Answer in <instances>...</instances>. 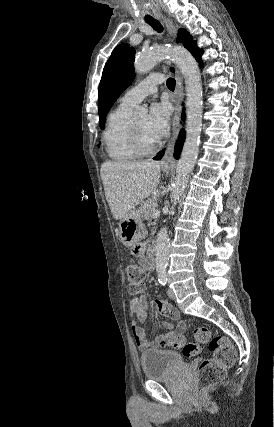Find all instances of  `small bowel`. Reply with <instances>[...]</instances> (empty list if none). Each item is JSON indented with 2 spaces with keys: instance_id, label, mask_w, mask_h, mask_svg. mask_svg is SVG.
Returning <instances> with one entry per match:
<instances>
[{
  "instance_id": "small-bowel-1",
  "label": "small bowel",
  "mask_w": 274,
  "mask_h": 427,
  "mask_svg": "<svg viewBox=\"0 0 274 427\" xmlns=\"http://www.w3.org/2000/svg\"><path fill=\"white\" fill-rule=\"evenodd\" d=\"M145 244H139L137 246V254L139 257V261L141 266L146 271H152L154 269V265L150 259L145 256ZM171 302L169 299H152L151 307L156 308L158 313H169L171 310ZM128 309L130 313V325L133 337L135 339L136 345L142 352H147L149 350L158 349L161 346H164V342L176 335L183 334L186 331V323L180 320L179 314L172 318L177 320V327L174 331L161 335L160 337H156L152 340L148 339L145 334L144 328L141 326L142 322H145L148 318L147 312V301L145 296H135L130 299L128 304Z\"/></svg>"
}]
</instances>
